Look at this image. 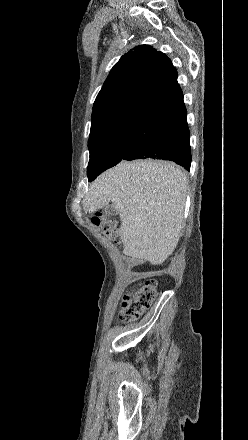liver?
<instances>
[{"label": "liver", "instance_id": "1", "mask_svg": "<svg viewBox=\"0 0 248 440\" xmlns=\"http://www.w3.org/2000/svg\"><path fill=\"white\" fill-rule=\"evenodd\" d=\"M187 176L174 163L122 161L91 184L85 213L111 201L118 211L124 254L162 264L175 250L183 227Z\"/></svg>", "mask_w": 248, "mask_h": 440}]
</instances>
